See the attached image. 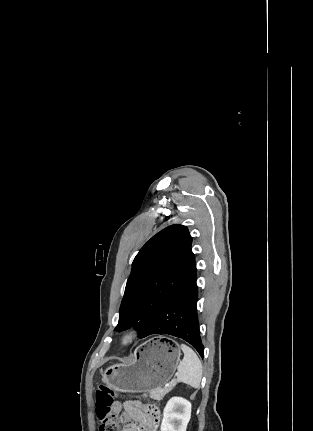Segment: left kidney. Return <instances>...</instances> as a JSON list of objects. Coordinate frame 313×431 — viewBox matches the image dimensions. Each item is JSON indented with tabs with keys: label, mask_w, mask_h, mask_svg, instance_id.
<instances>
[{
	"label": "left kidney",
	"mask_w": 313,
	"mask_h": 431,
	"mask_svg": "<svg viewBox=\"0 0 313 431\" xmlns=\"http://www.w3.org/2000/svg\"><path fill=\"white\" fill-rule=\"evenodd\" d=\"M191 418V403L181 397H172L163 410L160 431H186Z\"/></svg>",
	"instance_id": "left-kidney-1"
}]
</instances>
